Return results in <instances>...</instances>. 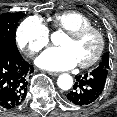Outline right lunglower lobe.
Returning <instances> with one entry per match:
<instances>
[{"instance_id":"obj_1","label":"right lung lower lobe","mask_w":117,"mask_h":117,"mask_svg":"<svg viewBox=\"0 0 117 117\" xmlns=\"http://www.w3.org/2000/svg\"><path fill=\"white\" fill-rule=\"evenodd\" d=\"M33 70L17 48H0V109H13L24 101Z\"/></svg>"}]
</instances>
